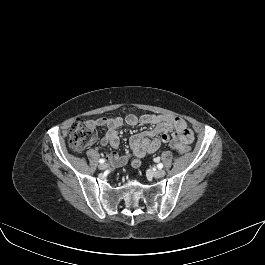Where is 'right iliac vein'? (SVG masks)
Masks as SVG:
<instances>
[{"instance_id":"63e3f726","label":"right iliac vein","mask_w":265,"mask_h":265,"mask_svg":"<svg viewBox=\"0 0 265 265\" xmlns=\"http://www.w3.org/2000/svg\"><path fill=\"white\" fill-rule=\"evenodd\" d=\"M98 167L100 170H105L107 168V164H100Z\"/></svg>"}]
</instances>
